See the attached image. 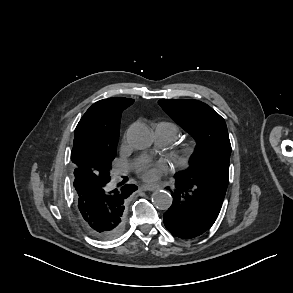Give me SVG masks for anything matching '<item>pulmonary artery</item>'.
Returning a JSON list of instances; mask_svg holds the SVG:
<instances>
[{
	"label": "pulmonary artery",
	"instance_id": "1",
	"mask_svg": "<svg viewBox=\"0 0 293 293\" xmlns=\"http://www.w3.org/2000/svg\"><path fill=\"white\" fill-rule=\"evenodd\" d=\"M155 136L157 147L167 146L174 140V136L171 131L167 127L160 124H158L155 128Z\"/></svg>",
	"mask_w": 293,
	"mask_h": 293
}]
</instances>
